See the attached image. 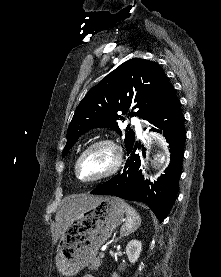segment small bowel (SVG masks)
I'll use <instances>...</instances> for the list:
<instances>
[{
    "label": "small bowel",
    "mask_w": 221,
    "mask_h": 277,
    "mask_svg": "<svg viewBox=\"0 0 221 277\" xmlns=\"http://www.w3.org/2000/svg\"><path fill=\"white\" fill-rule=\"evenodd\" d=\"M84 277H93V276H91V275H86V276H84Z\"/></svg>",
    "instance_id": "obj_1"
}]
</instances>
